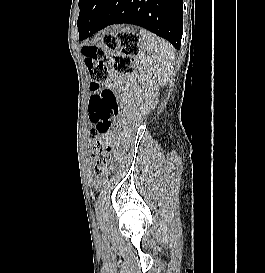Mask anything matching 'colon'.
Here are the masks:
<instances>
[{
	"label": "colon",
	"mask_w": 265,
	"mask_h": 273,
	"mask_svg": "<svg viewBox=\"0 0 265 273\" xmlns=\"http://www.w3.org/2000/svg\"><path fill=\"white\" fill-rule=\"evenodd\" d=\"M85 64L91 77L90 88L93 95L89 102V120L94 126L92 147L96 148L94 157L96 171L106 176L112 169L113 151L112 119L118 114V104L111 90H101L100 84L109 76L105 64L109 54H113L112 68L115 73L128 74L134 70V61L140 53L139 37L130 32L108 33L100 46H86L82 50Z\"/></svg>",
	"instance_id": "1"
}]
</instances>
